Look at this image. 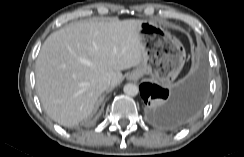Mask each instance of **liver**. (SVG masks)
<instances>
[{
    "mask_svg": "<svg viewBox=\"0 0 244 157\" xmlns=\"http://www.w3.org/2000/svg\"><path fill=\"white\" fill-rule=\"evenodd\" d=\"M142 20H89L70 23L43 43L35 65L36 90L43 108L57 123L71 127L91 115L122 70L141 63ZM110 74V84L103 77Z\"/></svg>",
    "mask_w": 244,
    "mask_h": 157,
    "instance_id": "obj_1",
    "label": "liver"
}]
</instances>
